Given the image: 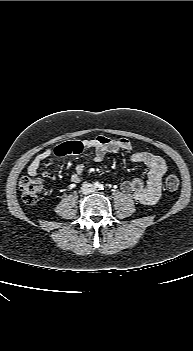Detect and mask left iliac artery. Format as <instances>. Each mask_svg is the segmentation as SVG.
<instances>
[{"instance_id": "1", "label": "left iliac artery", "mask_w": 193, "mask_h": 351, "mask_svg": "<svg viewBox=\"0 0 193 351\" xmlns=\"http://www.w3.org/2000/svg\"><path fill=\"white\" fill-rule=\"evenodd\" d=\"M99 190H104V186H103V185H100V186H99Z\"/></svg>"}]
</instances>
